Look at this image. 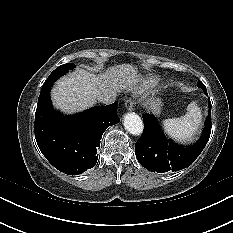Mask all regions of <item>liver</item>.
<instances>
[{"instance_id": "6515ba94", "label": "liver", "mask_w": 233, "mask_h": 233, "mask_svg": "<svg viewBox=\"0 0 233 233\" xmlns=\"http://www.w3.org/2000/svg\"><path fill=\"white\" fill-rule=\"evenodd\" d=\"M139 77L137 68L131 64L112 66L99 75L78 69L57 81L51 98L55 108L73 114L93 106L101 94L132 90Z\"/></svg>"}]
</instances>
